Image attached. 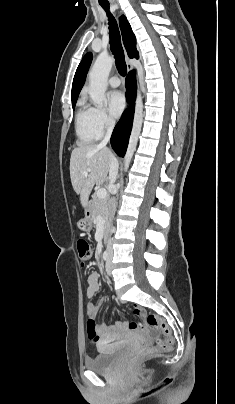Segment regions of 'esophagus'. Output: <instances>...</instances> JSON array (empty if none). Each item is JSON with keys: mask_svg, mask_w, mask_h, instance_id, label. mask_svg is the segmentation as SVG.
I'll use <instances>...</instances> for the list:
<instances>
[{"mask_svg": "<svg viewBox=\"0 0 235 404\" xmlns=\"http://www.w3.org/2000/svg\"><path fill=\"white\" fill-rule=\"evenodd\" d=\"M128 60H129V58H128L127 54H126L127 69H128V72H131L132 71V65L128 63Z\"/></svg>", "mask_w": 235, "mask_h": 404, "instance_id": "esophagus-1", "label": "esophagus"}]
</instances>
